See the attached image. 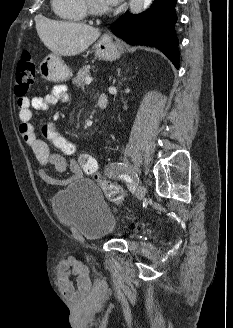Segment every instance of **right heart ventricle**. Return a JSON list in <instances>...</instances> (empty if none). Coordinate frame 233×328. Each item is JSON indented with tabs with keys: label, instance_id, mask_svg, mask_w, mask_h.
<instances>
[{
	"label": "right heart ventricle",
	"instance_id": "e07e8e85",
	"mask_svg": "<svg viewBox=\"0 0 233 328\" xmlns=\"http://www.w3.org/2000/svg\"><path fill=\"white\" fill-rule=\"evenodd\" d=\"M54 12L61 18L80 21L87 15L84 0H52Z\"/></svg>",
	"mask_w": 233,
	"mask_h": 328
}]
</instances>
